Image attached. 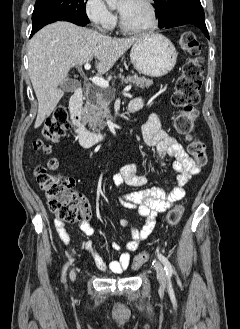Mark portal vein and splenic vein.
<instances>
[{
	"label": "portal vein and splenic vein",
	"instance_id": "1",
	"mask_svg": "<svg viewBox=\"0 0 240 329\" xmlns=\"http://www.w3.org/2000/svg\"><path fill=\"white\" fill-rule=\"evenodd\" d=\"M84 68L89 70L91 68V65L89 63H86L84 65ZM91 80L95 85H97L100 88L106 89L109 87V82L101 77L95 76V77L91 78ZM131 87H132L131 85L126 86L124 89V92L129 91L131 89Z\"/></svg>",
	"mask_w": 240,
	"mask_h": 329
}]
</instances>
